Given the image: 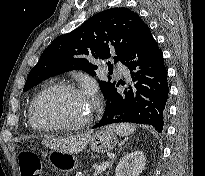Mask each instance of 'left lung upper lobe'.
<instances>
[{
	"label": "left lung upper lobe",
	"mask_w": 205,
	"mask_h": 176,
	"mask_svg": "<svg viewBox=\"0 0 205 176\" xmlns=\"http://www.w3.org/2000/svg\"><path fill=\"white\" fill-rule=\"evenodd\" d=\"M146 25L138 14L128 8H112L97 13L74 31L58 36L41 54L29 72L23 91H27L51 76L71 70H83L95 75L97 60L113 56L121 61ZM109 67L112 65L107 63ZM115 82L101 81L107 96Z\"/></svg>",
	"instance_id": "left-lung-upper-lobe-1"
}]
</instances>
